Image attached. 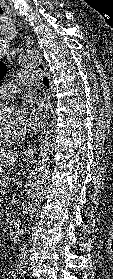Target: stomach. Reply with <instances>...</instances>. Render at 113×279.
I'll use <instances>...</instances> for the list:
<instances>
[{"instance_id": "1", "label": "stomach", "mask_w": 113, "mask_h": 279, "mask_svg": "<svg viewBox=\"0 0 113 279\" xmlns=\"http://www.w3.org/2000/svg\"><path fill=\"white\" fill-rule=\"evenodd\" d=\"M30 157L28 156L27 159H29ZM3 170L0 169V177L2 176Z\"/></svg>"}]
</instances>
